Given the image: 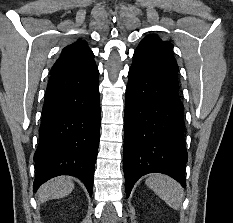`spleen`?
Instances as JSON below:
<instances>
[{
    "label": "spleen",
    "mask_w": 233,
    "mask_h": 223,
    "mask_svg": "<svg viewBox=\"0 0 233 223\" xmlns=\"http://www.w3.org/2000/svg\"><path fill=\"white\" fill-rule=\"evenodd\" d=\"M146 185L153 189L159 197H162L170 207L179 209L180 201L184 197L183 187L178 181L169 177V175H162V173H152L145 181Z\"/></svg>",
    "instance_id": "3e777b00"
}]
</instances>
